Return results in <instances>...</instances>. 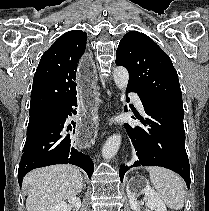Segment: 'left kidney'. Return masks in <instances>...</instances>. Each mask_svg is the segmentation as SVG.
Wrapping results in <instances>:
<instances>
[{
	"label": "left kidney",
	"instance_id": "obj_1",
	"mask_svg": "<svg viewBox=\"0 0 209 211\" xmlns=\"http://www.w3.org/2000/svg\"><path fill=\"white\" fill-rule=\"evenodd\" d=\"M126 192L130 207L134 211H139L140 202L137 200V197L141 194H144L146 205L150 209L148 211H167L163 201L160 199L155 190L149 186L148 183H144L142 181H133L128 184Z\"/></svg>",
	"mask_w": 209,
	"mask_h": 211
}]
</instances>
